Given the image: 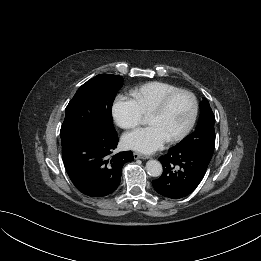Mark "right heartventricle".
<instances>
[{"label":"right heart ventricle","instance_id":"e07e8e85","mask_svg":"<svg viewBox=\"0 0 261 261\" xmlns=\"http://www.w3.org/2000/svg\"><path fill=\"white\" fill-rule=\"evenodd\" d=\"M179 90L173 84L154 81L146 83L132 91L134 99L144 114H149L169 94Z\"/></svg>","mask_w":261,"mask_h":261}]
</instances>
